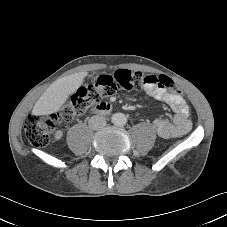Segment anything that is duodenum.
<instances>
[{
  "label": "duodenum",
  "mask_w": 227,
  "mask_h": 227,
  "mask_svg": "<svg viewBox=\"0 0 227 227\" xmlns=\"http://www.w3.org/2000/svg\"><path fill=\"white\" fill-rule=\"evenodd\" d=\"M93 111L97 114H108L111 111V106L108 103H100Z\"/></svg>",
  "instance_id": "410a0bca"
}]
</instances>
